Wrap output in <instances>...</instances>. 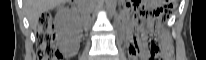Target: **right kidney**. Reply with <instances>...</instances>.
Instances as JSON below:
<instances>
[{
	"label": "right kidney",
	"instance_id": "obj_1",
	"mask_svg": "<svg viewBox=\"0 0 206 60\" xmlns=\"http://www.w3.org/2000/svg\"><path fill=\"white\" fill-rule=\"evenodd\" d=\"M58 43L62 47H68L74 42V36L78 32V21L76 17L68 19L63 18L60 14L57 16Z\"/></svg>",
	"mask_w": 206,
	"mask_h": 60
}]
</instances>
